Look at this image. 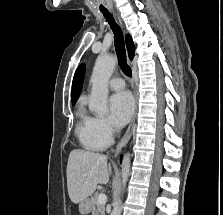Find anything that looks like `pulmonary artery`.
<instances>
[{"label":"pulmonary artery","mask_w":223,"mask_h":215,"mask_svg":"<svg viewBox=\"0 0 223 215\" xmlns=\"http://www.w3.org/2000/svg\"><path fill=\"white\" fill-rule=\"evenodd\" d=\"M108 85L111 89L120 90L125 87V81L119 77H113L109 80Z\"/></svg>","instance_id":"1"}]
</instances>
